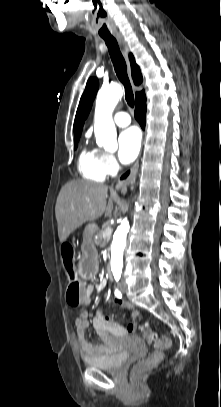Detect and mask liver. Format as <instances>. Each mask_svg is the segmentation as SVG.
Returning <instances> with one entry per match:
<instances>
[{"label": "liver", "mask_w": 221, "mask_h": 407, "mask_svg": "<svg viewBox=\"0 0 221 407\" xmlns=\"http://www.w3.org/2000/svg\"><path fill=\"white\" fill-rule=\"evenodd\" d=\"M108 186L82 180L65 184L57 198L55 215L58 236L61 243L87 221H94L101 215L109 216L116 193L111 192L108 204Z\"/></svg>", "instance_id": "6515ba94"}]
</instances>
